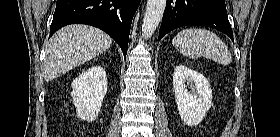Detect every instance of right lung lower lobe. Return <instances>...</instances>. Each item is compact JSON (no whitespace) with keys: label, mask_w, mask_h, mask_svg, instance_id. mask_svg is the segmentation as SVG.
<instances>
[{"label":"right lung lower lobe","mask_w":280,"mask_h":137,"mask_svg":"<svg viewBox=\"0 0 280 137\" xmlns=\"http://www.w3.org/2000/svg\"><path fill=\"white\" fill-rule=\"evenodd\" d=\"M141 0H57L50 36L69 24H88L109 34L126 58L132 18Z\"/></svg>","instance_id":"98d812e1"}]
</instances>
